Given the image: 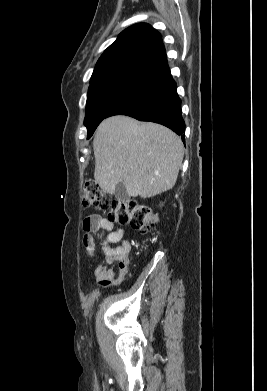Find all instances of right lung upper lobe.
<instances>
[{"mask_svg": "<svg viewBox=\"0 0 267 391\" xmlns=\"http://www.w3.org/2000/svg\"><path fill=\"white\" fill-rule=\"evenodd\" d=\"M168 67L161 35L149 24L138 23L120 33L96 63L91 80L114 73L153 77Z\"/></svg>", "mask_w": 267, "mask_h": 391, "instance_id": "cb5924a9", "label": "right lung upper lobe"}]
</instances>
